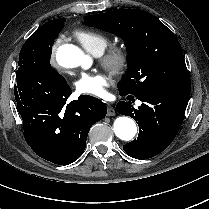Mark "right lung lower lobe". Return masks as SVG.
Returning a JSON list of instances; mask_svg holds the SVG:
<instances>
[{
  "label": "right lung lower lobe",
  "mask_w": 209,
  "mask_h": 209,
  "mask_svg": "<svg viewBox=\"0 0 209 209\" xmlns=\"http://www.w3.org/2000/svg\"><path fill=\"white\" fill-rule=\"evenodd\" d=\"M16 79L14 95L27 144L54 164L77 160L91 126L106 116V104L89 95L66 103L72 93L66 81L35 71H26Z\"/></svg>",
  "instance_id": "1"
}]
</instances>
